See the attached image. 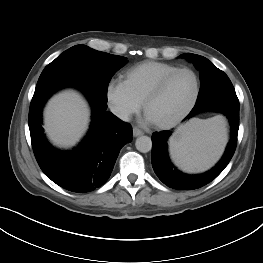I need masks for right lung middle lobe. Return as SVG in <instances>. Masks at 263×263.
Segmentation results:
<instances>
[{
	"label": "right lung middle lobe",
	"mask_w": 263,
	"mask_h": 263,
	"mask_svg": "<svg viewBox=\"0 0 263 263\" xmlns=\"http://www.w3.org/2000/svg\"><path fill=\"white\" fill-rule=\"evenodd\" d=\"M126 62L122 56L96 51L85 45L73 46L45 67L33 97L73 85L88 90L107 103L108 83Z\"/></svg>",
	"instance_id": "obj_1"
}]
</instances>
